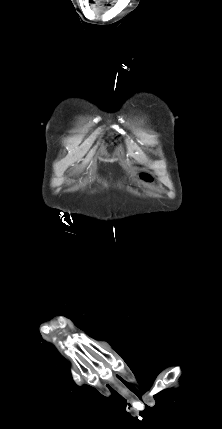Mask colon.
<instances>
[{
	"label": "colon",
	"mask_w": 222,
	"mask_h": 429,
	"mask_svg": "<svg viewBox=\"0 0 222 429\" xmlns=\"http://www.w3.org/2000/svg\"><path fill=\"white\" fill-rule=\"evenodd\" d=\"M142 181L150 183L152 182V176L149 173L143 172L140 175Z\"/></svg>",
	"instance_id": "obj_1"
}]
</instances>
